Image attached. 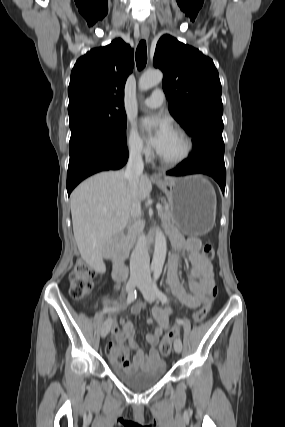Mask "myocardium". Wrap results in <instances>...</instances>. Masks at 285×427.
Masks as SVG:
<instances>
[{"label":"myocardium","instance_id":"1","mask_svg":"<svg viewBox=\"0 0 285 427\" xmlns=\"http://www.w3.org/2000/svg\"><path fill=\"white\" fill-rule=\"evenodd\" d=\"M172 131L177 133L185 143V149L181 156L176 159H165L156 153L157 160L164 166L174 167L184 163L192 154L193 151V141L188 133L182 128H174Z\"/></svg>","mask_w":285,"mask_h":427}]
</instances>
